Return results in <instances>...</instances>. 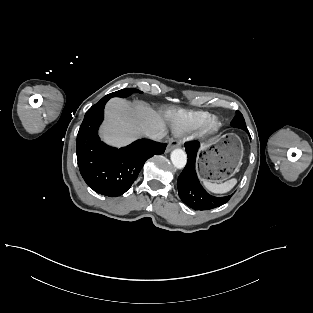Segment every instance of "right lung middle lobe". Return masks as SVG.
Masks as SVG:
<instances>
[{
    "label": "right lung middle lobe",
    "mask_w": 313,
    "mask_h": 313,
    "mask_svg": "<svg viewBox=\"0 0 313 313\" xmlns=\"http://www.w3.org/2000/svg\"><path fill=\"white\" fill-rule=\"evenodd\" d=\"M138 92L142 93L141 91H139L137 89L127 88V89H122V90L110 93V94L106 95L105 97H108L109 99L112 98V97H122V98H124V97H127V96L131 95L132 93H138Z\"/></svg>",
    "instance_id": "dd1d6c3e"
}]
</instances>
